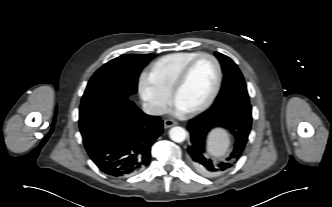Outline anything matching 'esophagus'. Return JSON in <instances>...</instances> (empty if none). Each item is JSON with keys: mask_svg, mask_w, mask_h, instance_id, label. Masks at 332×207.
Segmentation results:
<instances>
[{"mask_svg": "<svg viewBox=\"0 0 332 207\" xmlns=\"http://www.w3.org/2000/svg\"><path fill=\"white\" fill-rule=\"evenodd\" d=\"M175 125H177V122L172 120V119H166L164 121V127L165 128H170V127L175 126Z\"/></svg>", "mask_w": 332, "mask_h": 207, "instance_id": "34e87169", "label": "esophagus"}]
</instances>
